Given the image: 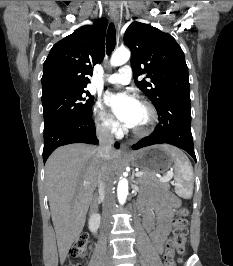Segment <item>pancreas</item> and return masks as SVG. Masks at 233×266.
Masks as SVG:
<instances>
[{"instance_id": "1", "label": "pancreas", "mask_w": 233, "mask_h": 266, "mask_svg": "<svg viewBox=\"0 0 233 266\" xmlns=\"http://www.w3.org/2000/svg\"><path fill=\"white\" fill-rule=\"evenodd\" d=\"M143 175L138 178L137 184L141 186L152 185V186H164L168 187L166 182L160 181L153 173L142 171Z\"/></svg>"}]
</instances>
